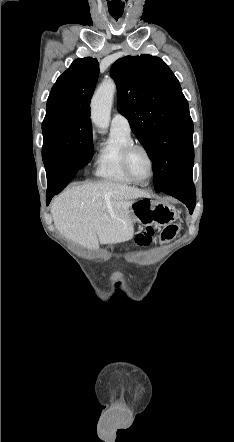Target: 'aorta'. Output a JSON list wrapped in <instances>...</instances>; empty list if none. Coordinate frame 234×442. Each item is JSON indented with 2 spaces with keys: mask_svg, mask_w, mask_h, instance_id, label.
Here are the masks:
<instances>
[{
  "mask_svg": "<svg viewBox=\"0 0 234 442\" xmlns=\"http://www.w3.org/2000/svg\"><path fill=\"white\" fill-rule=\"evenodd\" d=\"M115 91V83L108 79L98 87L92 98L91 120L100 129H107L109 126Z\"/></svg>",
  "mask_w": 234,
  "mask_h": 442,
  "instance_id": "aorta-1",
  "label": "aorta"
}]
</instances>
